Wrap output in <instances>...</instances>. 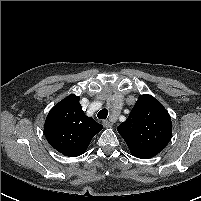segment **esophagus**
Masks as SVG:
<instances>
[{"instance_id":"34e87169","label":"esophagus","mask_w":201,"mask_h":201,"mask_svg":"<svg viewBox=\"0 0 201 201\" xmlns=\"http://www.w3.org/2000/svg\"><path fill=\"white\" fill-rule=\"evenodd\" d=\"M103 126L109 128L112 126V123L109 120H103Z\"/></svg>"}]
</instances>
